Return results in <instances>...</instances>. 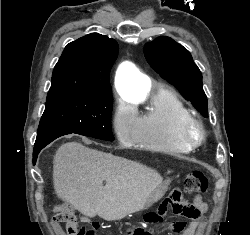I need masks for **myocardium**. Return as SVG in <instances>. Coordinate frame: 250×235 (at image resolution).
I'll list each match as a JSON object with an SVG mask.
<instances>
[{
    "instance_id": "obj_1",
    "label": "myocardium",
    "mask_w": 250,
    "mask_h": 235,
    "mask_svg": "<svg viewBox=\"0 0 250 235\" xmlns=\"http://www.w3.org/2000/svg\"><path fill=\"white\" fill-rule=\"evenodd\" d=\"M178 138L189 149H196L206 139V131L203 123L195 116L184 118L178 126Z\"/></svg>"
}]
</instances>
